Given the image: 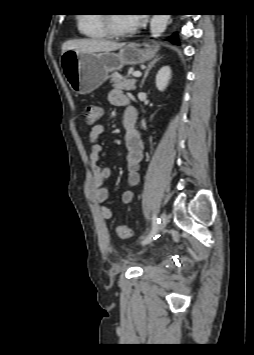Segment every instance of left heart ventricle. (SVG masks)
<instances>
[{
  "label": "left heart ventricle",
  "instance_id": "left-heart-ventricle-1",
  "mask_svg": "<svg viewBox=\"0 0 254 355\" xmlns=\"http://www.w3.org/2000/svg\"><path fill=\"white\" fill-rule=\"evenodd\" d=\"M113 16V25L118 30H129L133 29L134 25L132 24L128 15L125 14H112Z\"/></svg>",
  "mask_w": 254,
  "mask_h": 355
}]
</instances>
